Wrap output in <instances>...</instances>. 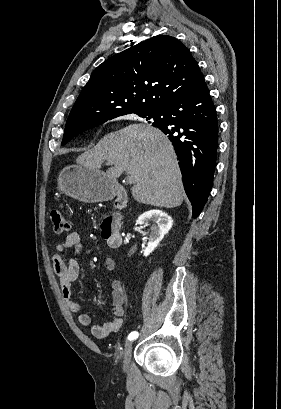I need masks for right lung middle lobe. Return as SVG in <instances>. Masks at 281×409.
<instances>
[{"mask_svg": "<svg viewBox=\"0 0 281 409\" xmlns=\"http://www.w3.org/2000/svg\"><path fill=\"white\" fill-rule=\"evenodd\" d=\"M131 113L137 114L138 116H140V117H142V118H146L147 120L153 119V120H154V123H155L156 120H157V118H156V116H155V112H149V111L125 112V113L113 115V116H110V117H108V118H105V119H103V120H101V121H98V122L93 123V124L88 125V126H84V127H68V128H65V133H64V136H63V140H62V145H65V144H66L67 142H69L74 136H76V135H78V134H80V133H82V132H84V131H86V130H88V129L94 128V127H96V126H98V125H100V124H102V123H104V122H106V121H108V120H111V119H113V118H116V117H118V116H122V115H126V114H131Z\"/></svg>", "mask_w": 281, "mask_h": 409, "instance_id": "obj_1", "label": "right lung middle lobe"}]
</instances>
